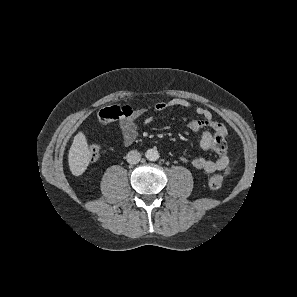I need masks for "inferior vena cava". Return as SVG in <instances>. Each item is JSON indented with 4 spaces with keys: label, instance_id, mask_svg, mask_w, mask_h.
Segmentation results:
<instances>
[{
    "label": "inferior vena cava",
    "instance_id": "inferior-vena-cava-1",
    "mask_svg": "<svg viewBox=\"0 0 297 297\" xmlns=\"http://www.w3.org/2000/svg\"><path fill=\"white\" fill-rule=\"evenodd\" d=\"M129 164H137L141 160V154L137 150H131L126 156Z\"/></svg>",
    "mask_w": 297,
    "mask_h": 297
}]
</instances>
